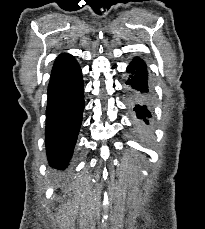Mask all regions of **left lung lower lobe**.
<instances>
[{
	"label": "left lung lower lobe",
	"mask_w": 205,
	"mask_h": 229,
	"mask_svg": "<svg viewBox=\"0 0 205 229\" xmlns=\"http://www.w3.org/2000/svg\"><path fill=\"white\" fill-rule=\"evenodd\" d=\"M130 75L126 81L128 105L135 118V127L141 136L150 133L152 114L149 108L148 96L150 85L145 62L135 57L126 70Z\"/></svg>",
	"instance_id": "obj_1"
}]
</instances>
